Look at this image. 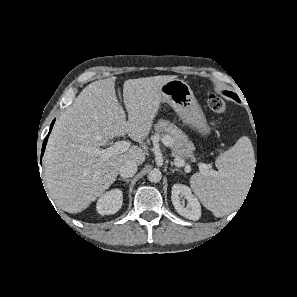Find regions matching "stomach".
Instances as JSON below:
<instances>
[{
	"label": "stomach",
	"instance_id": "obj_1",
	"mask_svg": "<svg viewBox=\"0 0 297 297\" xmlns=\"http://www.w3.org/2000/svg\"><path fill=\"white\" fill-rule=\"evenodd\" d=\"M161 101L168 103L184 124L208 136L210 127L190 86L181 79H172L160 87Z\"/></svg>",
	"mask_w": 297,
	"mask_h": 297
}]
</instances>
